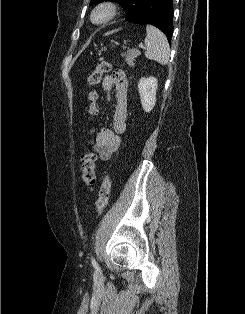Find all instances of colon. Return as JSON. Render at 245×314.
<instances>
[{
	"instance_id": "colon-1",
	"label": "colon",
	"mask_w": 245,
	"mask_h": 314,
	"mask_svg": "<svg viewBox=\"0 0 245 314\" xmlns=\"http://www.w3.org/2000/svg\"><path fill=\"white\" fill-rule=\"evenodd\" d=\"M111 70V64L108 61H101L96 69L91 73L88 77V86L90 91L88 93V100H89V114L91 116H95L98 112L97 109V99L98 93L96 91V86L100 83L102 75L109 72ZM92 131V129H90ZM91 140L87 139L86 144H90ZM82 169H81V177L84 185L90 189L94 186L96 182V156L92 152H87L82 156ZM110 188L111 182L110 177L106 174L103 177L99 197L96 202V209L98 215L102 214L104 211L110 196Z\"/></svg>"
}]
</instances>
